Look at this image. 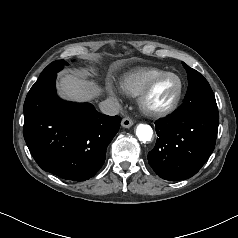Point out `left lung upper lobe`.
I'll use <instances>...</instances> for the list:
<instances>
[{"label":"left lung upper lobe","instance_id":"5c2ea615","mask_svg":"<svg viewBox=\"0 0 238 238\" xmlns=\"http://www.w3.org/2000/svg\"><path fill=\"white\" fill-rule=\"evenodd\" d=\"M188 74V90L183 105L177 111L188 115L207 107H215L216 100L207 80L196 70L182 62Z\"/></svg>","mask_w":238,"mask_h":238}]
</instances>
